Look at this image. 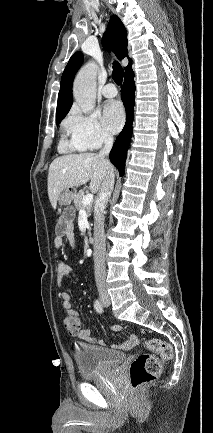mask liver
<instances>
[{
	"label": "liver",
	"instance_id": "liver-1",
	"mask_svg": "<svg viewBox=\"0 0 213 433\" xmlns=\"http://www.w3.org/2000/svg\"><path fill=\"white\" fill-rule=\"evenodd\" d=\"M112 165L95 153L64 155L56 158L49 167L47 186L53 208L57 206L60 193L90 180V190L96 193Z\"/></svg>",
	"mask_w": 213,
	"mask_h": 433
}]
</instances>
